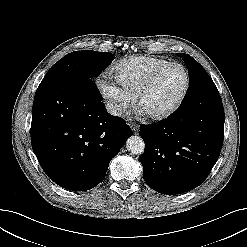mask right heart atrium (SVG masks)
I'll return each mask as SVG.
<instances>
[{"label":"right heart atrium","mask_w":247,"mask_h":247,"mask_svg":"<svg viewBox=\"0 0 247 247\" xmlns=\"http://www.w3.org/2000/svg\"><path fill=\"white\" fill-rule=\"evenodd\" d=\"M98 91L106 103L108 111L114 116L122 115L131 105L133 99L112 78L103 75L98 79Z\"/></svg>","instance_id":"obj_1"}]
</instances>
